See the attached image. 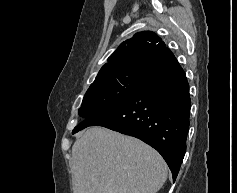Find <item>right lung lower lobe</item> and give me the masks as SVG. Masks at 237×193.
Returning <instances> with one entry per match:
<instances>
[{"label":"right lung lower lobe","mask_w":237,"mask_h":193,"mask_svg":"<svg viewBox=\"0 0 237 193\" xmlns=\"http://www.w3.org/2000/svg\"><path fill=\"white\" fill-rule=\"evenodd\" d=\"M190 106L184 70L168 52L149 67L128 99L84 120L73 133L88 126H103L139 138L162 155L175 181L186 151Z\"/></svg>","instance_id":"1"}]
</instances>
